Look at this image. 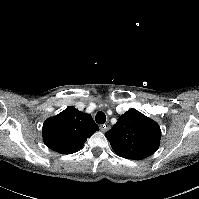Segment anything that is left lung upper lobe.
Listing matches in <instances>:
<instances>
[{
	"mask_svg": "<svg viewBox=\"0 0 199 199\" xmlns=\"http://www.w3.org/2000/svg\"><path fill=\"white\" fill-rule=\"evenodd\" d=\"M105 136L119 156L136 160L146 158L158 149L161 130L155 121L130 109Z\"/></svg>",
	"mask_w": 199,
	"mask_h": 199,
	"instance_id": "1",
	"label": "left lung upper lobe"
}]
</instances>
